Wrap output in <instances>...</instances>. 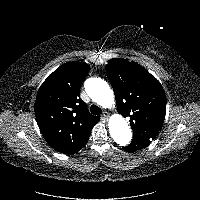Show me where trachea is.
I'll list each match as a JSON object with an SVG mask.
<instances>
[{"mask_svg": "<svg viewBox=\"0 0 200 200\" xmlns=\"http://www.w3.org/2000/svg\"><path fill=\"white\" fill-rule=\"evenodd\" d=\"M90 111H91V113L93 114V115H100L101 114V109L97 106V105H91V107H90Z\"/></svg>", "mask_w": 200, "mask_h": 200, "instance_id": "3493384b", "label": "trachea"}]
</instances>
